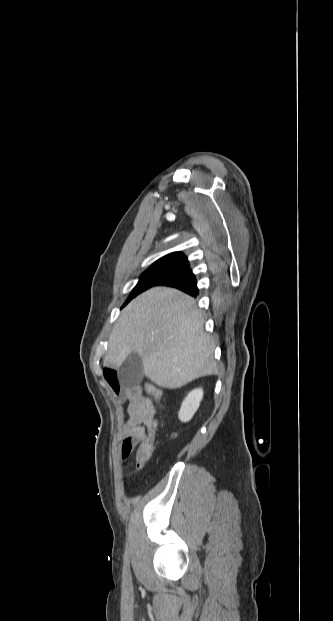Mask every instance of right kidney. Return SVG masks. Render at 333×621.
Wrapping results in <instances>:
<instances>
[{
    "label": "right kidney",
    "mask_w": 333,
    "mask_h": 621,
    "mask_svg": "<svg viewBox=\"0 0 333 621\" xmlns=\"http://www.w3.org/2000/svg\"><path fill=\"white\" fill-rule=\"evenodd\" d=\"M202 398H203L202 388H197L189 392L187 397L182 402L180 411L178 413V417L181 422L185 423L192 419L195 412L199 408Z\"/></svg>",
    "instance_id": "1"
}]
</instances>
